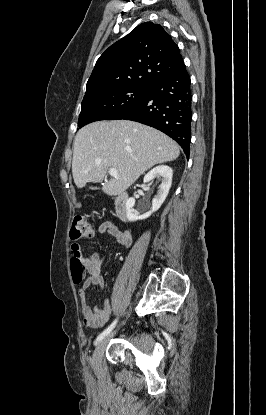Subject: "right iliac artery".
Returning <instances> with one entry per match:
<instances>
[{
	"label": "right iliac artery",
	"instance_id": "right-iliac-artery-1",
	"mask_svg": "<svg viewBox=\"0 0 266 415\" xmlns=\"http://www.w3.org/2000/svg\"><path fill=\"white\" fill-rule=\"evenodd\" d=\"M117 323V319L113 321V323L108 326L96 339V343L100 340H102L104 337H106L111 331L112 329L115 327Z\"/></svg>",
	"mask_w": 266,
	"mask_h": 415
}]
</instances>
